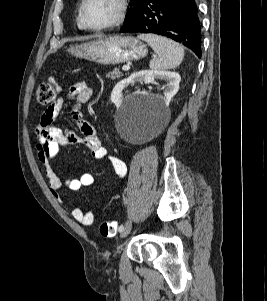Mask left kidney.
Instances as JSON below:
<instances>
[{
    "label": "left kidney",
    "instance_id": "obj_1",
    "mask_svg": "<svg viewBox=\"0 0 267 301\" xmlns=\"http://www.w3.org/2000/svg\"><path fill=\"white\" fill-rule=\"evenodd\" d=\"M156 78L164 79L167 81V87L163 93V96H160V100L168 106L171 99L175 96L179 89V83L181 81V77L176 72L170 71H159V70H143L130 75L127 79L121 80L116 84L112 93H111V101L115 104L117 108H119L123 101V93L122 91L129 84L139 81L145 82V84H149L153 82Z\"/></svg>",
    "mask_w": 267,
    "mask_h": 301
}]
</instances>
